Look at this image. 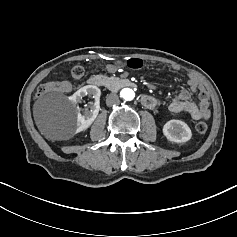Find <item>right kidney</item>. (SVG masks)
<instances>
[{"label":"right kidney","instance_id":"right-kidney-1","mask_svg":"<svg viewBox=\"0 0 237 237\" xmlns=\"http://www.w3.org/2000/svg\"><path fill=\"white\" fill-rule=\"evenodd\" d=\"M100 95L101 92L99 88L94 85H88L82 87L69 97V100L74 104L80 102L85 96H90L95 99L90 111L85 110L83 115L80 112L77 113L75 133H80L87 130L96 120L100 110Z\"/></svg>","mask_w":237,"mask_h":237}]
</instances>
